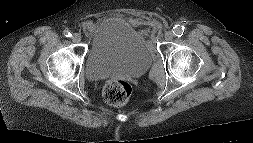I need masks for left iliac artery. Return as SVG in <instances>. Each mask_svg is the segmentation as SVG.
<instances>
[{"label":"left iliac artery","instance_id":"44dca946","mask_svg":"<svg viewBox=\"0 0 253 143\" xmlns=\"http://www.w3.org/2000/svg\"><path fill=\"white\" fill-rule=\"evenodd\" d=\"M184 29H185L184 26L177 25V26L173 27V33H174V35L181 37L184 33Z\"/></svg>","mask_w":253,"mask_h":143}]
</instances>
